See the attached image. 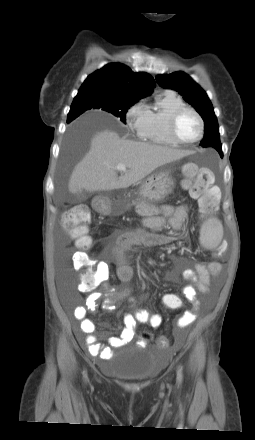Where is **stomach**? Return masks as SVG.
Instances as JSON below:
<instances>
[{
	"label": "stomach",
	"mask_w": 255,
	"mask_h": 440,
	"mask_svg": "<svg viewBox=\"0 0 255 440\" xmlns=\"http://www.w3.org/2000/svg\"><path fill=\"white\" fill-rule=\"evenodd\" d=\"M174 187V181L168 171H158L147 179L140 186L139 195L142 200L147 202H157L168 196ZM102 212H112L115 214L122 213L124 207L122 205H113L108 200H103L99 206Z\"/></svg>",
	"instance_id": "obj_1"
}]
</instances>
